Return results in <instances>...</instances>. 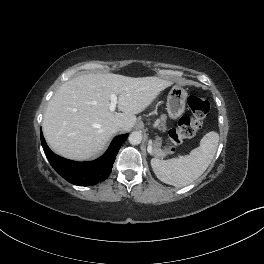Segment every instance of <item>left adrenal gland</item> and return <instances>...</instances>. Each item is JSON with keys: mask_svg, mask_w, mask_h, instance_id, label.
<instances>
[{"mask_svg": "<svg viewBox=\"0 0 264 264\" xmlns=\"http://www.w3.org/2000/svg\"><path fill=\"white\" fill-rule=\"evenodd\" d=\"M151 144H152V142L150 141V142H149V145H151Z\"/></svg>", "mask_w": 264, "mask_h": 264, "instance_id": "1", "label": "left adrenal gland"}]
</instances>
